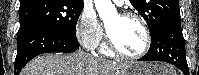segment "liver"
Segmentation results:
<instances>
[{
  "mask_svg": "<svg viewBox=\"0 0 199 75\" xmlns=\"http://www.w3.org/2000/svg\"><path fill=\"white\" fill-rule=\"evenodd\" d=\"M127 66L104 61L85 52L52 53L34 58L20 75H121ZM170 73L176 75L175 72Z\"/></svg>",
  "mask_w": 199,
  "mask_h": 75,
  "instance_id": "liver-1",
  "label": "liver"
}]
</instances>
